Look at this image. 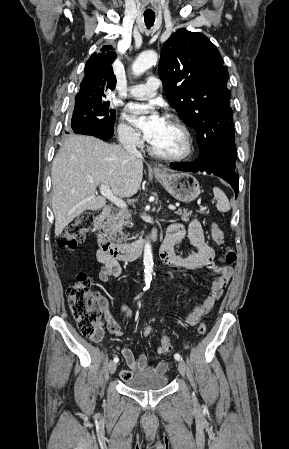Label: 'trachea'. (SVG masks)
<instances>
[{
  "label": "trachea",
  "instance_id": "obj_1",
  "mask_svg": "<svg viewBox=\"0 0 289 449\" xmlns=\"http://www.w3.org/2000/svg\"><path fill=\"white\" fill-rule=\"evenodd\" d=\"M144 21L147 28H151L155 22L154 13H144Z\"/></svg>",
  "mask_w": 289,
  "mask_h": 449
}]
</instances>
